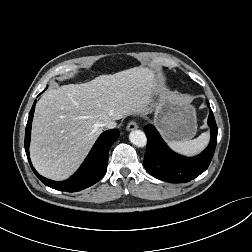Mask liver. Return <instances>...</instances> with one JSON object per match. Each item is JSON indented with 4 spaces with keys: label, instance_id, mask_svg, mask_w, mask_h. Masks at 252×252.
Segmentation results:
<instances>
[{
    "label": "liver",
    "instance_id": "liver-1",
    "mask_svg": "<svg viewBox=\"0 0 252 252\" xmlns=\"http://www.w3.org/2000/svg\"><path fill=\"white\" fill-rule=\"evenodd\" d=\"M153 87V71L135 67L46 91L32 124L33 166L49 179H67L103 132L105 120L150 110Z\"/></svg>",
    "mask_w": 252,
    "mask_h": 252
}]
</instances>
